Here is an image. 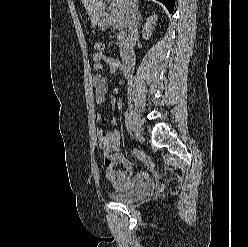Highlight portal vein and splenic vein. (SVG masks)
Wrapping results in <instances>:
<instances>
[{
    "mask_svg": "<svg viewBox=\"0 0 248 247\" xmlns=\"http://www.w3.org/2000/svg\"><path fill=\"white\" fill-rule=\"evenodd\" d=\"M115 11V13L117 14V15H119V13H118V11L117 10H114Z\"/></svg>",
    "mask_w": 248,
    "mask_h": 247,
    "instance_id": "portal-vein-and-splenic-vein-1",
    "label": "portal vein and splenic vein"
}]
</instances>
